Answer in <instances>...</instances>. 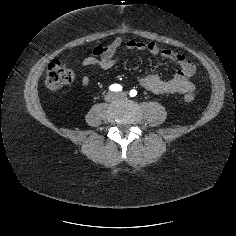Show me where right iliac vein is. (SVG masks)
I'll use <instances>...</instances> for the list:
<instances>
[{
  "instance_id": "obj_1",
  "label": "right iliac vein",
  "mask_w": 236,
  "mask_h": 236,
  "mask_svg": "<svg viewBox=\"0 0 236 236\" xmlns=\"http://www.w3.org/2000/svg\"><path fill=\"white\" fill-rule=\"evenodd\" d=\"M117 99V94L113 93V92H108L106 95H105V100L107 102H113Z\"/></svg>"
}]
</instances>
